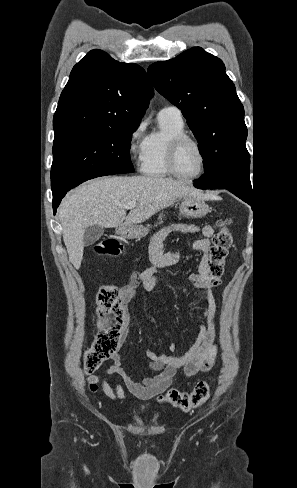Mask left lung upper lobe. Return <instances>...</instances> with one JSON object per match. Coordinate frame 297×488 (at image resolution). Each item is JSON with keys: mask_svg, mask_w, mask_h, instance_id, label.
<instances>
[{"mask_svg": "<svg viewBox=\"0 0 297 488\" xmlns=\"http://www.w3.org/2000/svg\"><path fill=\"white\" fill-rule=\"evenodd\" d=\"M147 73L156 90L182 111L200 143L205 173L195 186L253 195L244 108L222 60L193 47L153 63Z\"/></svg>", "mask_w": 297, "mask_h": 488, "instance_id": "obj_1", "label": "left lung upper lobe"}]
</instances>
